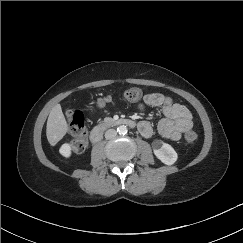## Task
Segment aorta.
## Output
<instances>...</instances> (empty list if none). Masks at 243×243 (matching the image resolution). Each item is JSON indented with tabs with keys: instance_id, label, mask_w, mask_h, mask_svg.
Returning <instances> with one entry per match:
<instances>
[{
	"instance_id": "aorta-1",
	"label": "aorta",
	"mask_w": 243,
	"mask_h": 243,
	"mask_svg": "<svg viewBox=\"0 0 243 243\" xmlns=\"http://www.w3.org/2000/svg\"><path fill=\"white\" fill-rule=\"evenodd\" d=\"M117 132L119 134H126L127 133V127L125 125H121L117 128Z\"/></svg>"
}]
</instances>
